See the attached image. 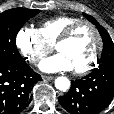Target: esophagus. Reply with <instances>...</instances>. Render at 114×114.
I'll use <instances>...</instances> for the list:
<instances>
[{
  "instance_id": "1",
  "label": "esophagus",
  "mask_w": 114,
  "mask_h": 114,
  "mask_svg": "<svg viewBox=\"0 0 114 114\" xmlns=\"http://www.w3.org/2000/svg\"><path fill=\"white\" fill-rule=\"evenodd\" d=\"M42 79H43L44 81H50V80H53L54 77H53V76L42 75Z\"/></svg>"
}]
</instances>
